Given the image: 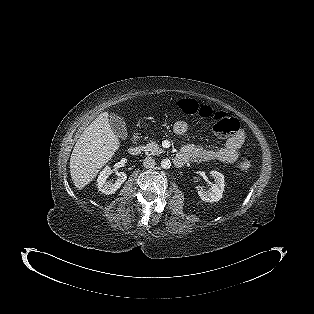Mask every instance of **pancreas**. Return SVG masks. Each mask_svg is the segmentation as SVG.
I'll use <instances>...</instances> for the list:
<instances>
[{
    "instance_id": "pancreas-1",
    "label": "pancreas",
    "mask_w": 314,
    "mask_h": 314,
    "mask_svg": "<svg viewBox=\"0 0 314 314\" xmlns=\"http://www.w3.org/2000/svg\"><path fill=\"white\" fill-rule=\"evenodd\" d=\"M146 155H159L164 153V149L160 148L156 141H150L143 147Z\"/></svg>"
}]
</instances>
